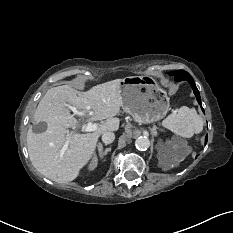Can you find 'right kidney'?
I'll use <instances>...</instances> for the list:
<instances>
[{"label": "right kidney", "mask_w": 233, "mask_h": 233, "mask_svg": "<svg viewBox=\"0 0 233 233\" xmlns=\"http://www.w3.org/2000/svg\"><path fill=\"white\" fill-rule=\"evenodd\" d=\"M97 164H98V159H97L96 156H94L93 159H92V161L88 165V170L89 171H93L97 167Z\"/></svg>", "instance_id": "right-kidney-1"}]
</instances>
